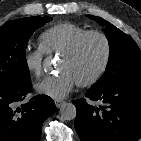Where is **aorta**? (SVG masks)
<instances>
[{
  "mask_svg": "<svg viewBox=\"0 0 141 141\" xmlns=\"http://www.w3.org/2000/svg\"><path fill=\"white\" fill-rule=\"evenodd\" d=\"M43 66H44L45 69L49 68L50 62H49L48 59L44 60ZM59 113H60V116H61V118L63 120L70 121V120L75 119L77 110H76V107H75L74 104H72V103H64L60 107Z\"/></svg>",
  "mask_w": 141,
  "mask_h": 141,
  "instance_id": "1",
  "label": "aorta"
}]
</instances>
